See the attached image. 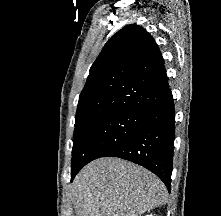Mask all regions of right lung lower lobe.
Segmentation results:
<instances>
[{"instance_id": "obj_1", "label": "right lung lower lobe", "mask_w": 221, "mask_h": 216, "mask_svg": "<svg viewBox=\"0 0 221 216\" xmlns=\"http://www.w3.org/2000/svg\"><path fill=\"white\" fill-rule=\"evenodd\" d=\"M175 113L170 90L145 114L139 129L103 157H118L156 174L171 189ZM84 165L71 168V180Z\"/></svg>"}]
</instances>
